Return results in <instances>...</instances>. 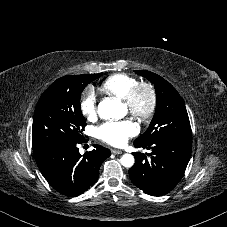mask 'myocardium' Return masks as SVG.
Listing matches in <instances>:
<instances>
[{
	"label": "myocardium",
	"mask_w": 227,
	"mask_h": 227,
	"mask_svg": "<svg viewBox=\"0 0 227 227\" xmlns=\"http://www.w3.org/2000/svg\"><path fill=\"white\" fill-rule=\"evenodd\" d=\"M145 93L148 97L146 107L140 105L141 94ZM123 105L127 112L138 122L143 123L150 119L154 114L157 106V95L154 87L148 82H137L127 92Z\"/></svg>",
	"instance_id": "myocardium-1"
}]
</instances>
